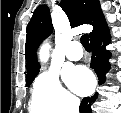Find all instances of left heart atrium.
Here are the masks:
<instances>
[{"label":"left heart atrium","instance_id":"obj_1","mask_svg":"<svg viewBox=\"0 0 121 113\" xmlns=\"http://www.w3.org/2000/svg\"><path fill=\"white\" fill-rule=\"evenodd\" d=\"M64 79L67 85L80 95L88 93L93 87L92 75L84 67H72L65 69Z\"/></svg>","mask_w":121,"mask_h":113}]
</instances>
